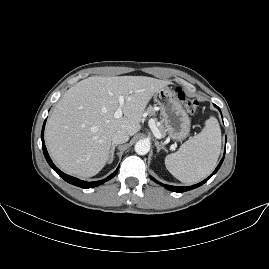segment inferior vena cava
Instances as JSON below:
<instances>
[{"instance_id":"inferior-vena-cava-1","label":"inferior vena cava","mask_w":269,"mask_h":269,"mask_svg":"<svg viewBox=\"0 0 269 269\" xmlns=\"http://www.w3.org/2000/svg\"><path fill=\"white\" fill-rule=\"evenodd\" d=\"M113 144H123L129 140V134L125 130L116 131L111 137Z\"/></svg>"}]
</instances>
